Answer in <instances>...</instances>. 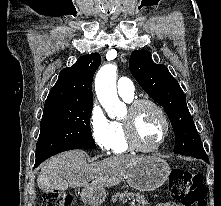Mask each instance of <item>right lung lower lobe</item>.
I'll list each match as a JSON object with an SVG mask.
<instances>
[{"instance_id": "right-lung-lower-lobe-1", "label": "right lung lower lobe", "mask_w": 221, "mask_h": 206, "mask_svg": "<svg viewBox=\"0 0 221 206\" xmlns=\"http://www.w3.org/2000/svg\"><path fill=\"white\" fill-rule=\"evenodd\" d=\"M44 160H36L35 162V167L39 166L41 162H43Z\"/></svg>"}]
</instances>
